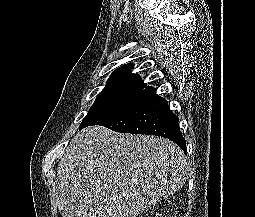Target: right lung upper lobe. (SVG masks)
I'll list each match as a JSON object with an SVG mask.
<instances>
[{"label":"right lung upper lobe","mask_w":255,"mask_h":217,"mask_svg":"<svg viewBox=\"0 0 255 217\" xmlns=\"http://www.w3.org/2000/svg\"><path fill=\"white\" fill-rule=\"evenodd\" d=\"M132 68L133 64H127L116 69L108 79L105 88L119 86L148 87L144 84L139 75L131 74Z\"/></svg>","instance_id":"cb5924a9"}]
</instances>
